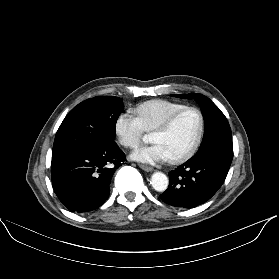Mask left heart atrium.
<instances>
[{
    "label": "left heart atrium",
    "instance_id": "1",
    "mask_svg": "<svg viewBox=\"0 0 279 279\" xmlns=\"http://www.w3.org/2000/svg\"><path fill=\"white\" fill-rule=\"evenodd\" d=\"M131 157L145 163L161 162L170 158L167 151L160 143L140 147L132 152Z\"/></svg>",
    "mask_w": 279,
    "mask_h": 279
}]
</instances>
